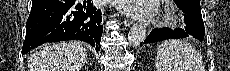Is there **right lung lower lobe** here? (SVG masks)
I'll return each mask as SVG.
<instances>
[{"mask_svg":"<svg viewBox=\"0 0 230 71\" xmlns=\"http://www.w3.org/2000/svg\"><path fill=\"white\" fill-rule=\"evenodd\" d=\"M90 2L32 0L22 54L46 42L64 40L86 41L98 52L103 32L102 16Z\"/></svg>","mask_w":230,"mask_h":71,"instance_id":"98d812e1","label":"right lung lower lobe"}]
</instances>
